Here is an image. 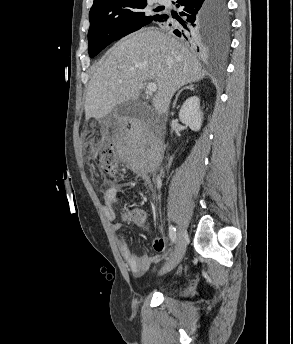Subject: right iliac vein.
<instances>
[{"instance_id": "1", "label": "right iliac vein", "mask_w": 293, "mask_h": 344, "mask_svg": "<svg viewBox=\"0 0 293 344\" xmlns=\"http://www.w3.org/2000/svg\"><path fill=\"white\" fill-rule=\"evenodd\" d=\"M186 241H187L186 231L184 229H179L175 252L170 258V260L164 265V267L161 270V273L169 272L178 265V263L181 261V259L185 255Z\"/></svg>"}]
</instances>
